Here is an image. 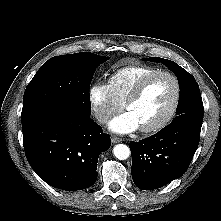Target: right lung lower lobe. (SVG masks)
<instances>
[{"instance_id": "1", "label": "right lung lower lobe", "mask_w": 221, "mask_h": 221, "mask_svg": "<svg viewBox=\"0 0 221 221\" xmlns=\"http://www.w3.org/2000/svg\"><path fill=\"white\" fill-rule=\"evenodd\" d=\"M25 154L32 169L52 187L83 190L97 179V161L111 139L90 115L50 108L22 124Z\"/></svg>"}]
</instances>
